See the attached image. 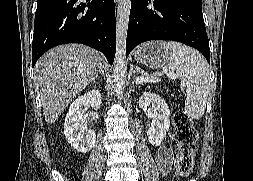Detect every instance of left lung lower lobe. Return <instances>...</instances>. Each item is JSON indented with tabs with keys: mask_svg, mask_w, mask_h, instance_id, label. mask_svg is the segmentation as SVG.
I'll list each match as a JSON object with an SVG mask.
<instances>
[{
	"mask_svg": "<svg viewBox=\"0 0 253 181\" xmlns=\"http://www.w3.org/2000/svg\"><path fill=\"white\" fill-rule=\"evenodd\" d=\"M148 40H172L199 50L210 63L201 0H131L127 55Z\"/></svg>",
	"mask_w": 253,
	"mask_h": 181,
	"instance_id": "left-lung-lower-lobe-1",
	"label": "left lung lower lobe"
}]
</instances>
